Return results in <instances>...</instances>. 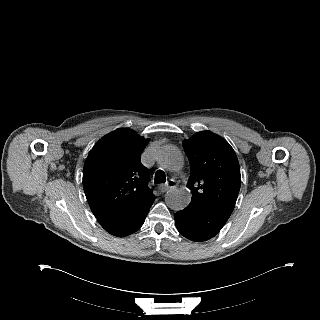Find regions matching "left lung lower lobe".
Instances as JSON below:
<instances>
[{"label": "left lung lower lobe", "mask_w": 320, "mask_h": 320, "mask_svg": "<svg viewBox=\"0 0 320 320\" xmlns=\"http://www.w3.org/2000/svg\"><path fill=\"white\" fill-rule=\"evenodd\" d=\"M230 215L224 209L191 200L186 208L175 213L174 218L177 230L184 237L195 242H202L214 237Z\"/></svg>", "instance_id": "left-lung-lower-lobe-1"}]
</instances>
